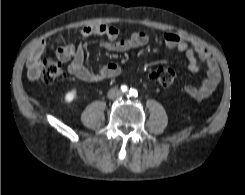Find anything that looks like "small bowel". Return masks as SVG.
Returning <instances> with one entry per match:
<instances>
[{"label": "small bowel", "instance_id": "1", "mask_svg": "<svg viewBox=\"0 0 245 195\" xmlns=\"http://www.w3.org/2000/svg\"><path fill=\"white\" fill-rule=\"evenodd\" d=\"M79 33L84 37H106L102 46L106 50L115 52L143 47L149 41L148 35L142 31L135 32L128 38L120 39L119 29L105 24L84 26L79 30ZM163 41L168 48L177 49L185 54L188 69L191 72L199 71L201 64L206 66L207 77L198 87L188 86L184 89V92L190 98L197 100L208 97L215 90L221 78L220 68L210 50L203 44L177 33L164 34ZM45 48V43L40 42L34 47L27 59L28 77L31 80H36L40 76V59ZM57 56L60 60L69 62L68 70L70 74L86 82L110 79L121 72V67L116 63L106 64L96 70L85 67L83 44H64L57 49Z\"/></svg>", "mask_w": 245, "mask_h": 195}]
</instances>
